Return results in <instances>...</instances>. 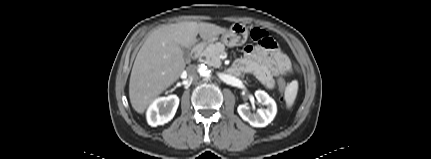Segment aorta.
Wrapping results in <instances>:
<instances>
[{
	"label": "aorta",
	"mask_w": 431,
	"mask_h": 159,
	"mask_svg": "<svg viewBox=\"0 0 431 159\" xmlns=\"http://www.w3.org/2000/svg\"><path fill=\"white\" fill-rule=\"evenodd\" d=\"M201 77H203V79L211 81L214 78L213 72L212 70H210V68L208 66L202 65L199 68Z\"/></svg>",
	"instance_id": "762f6f07"
}]
</instances>
